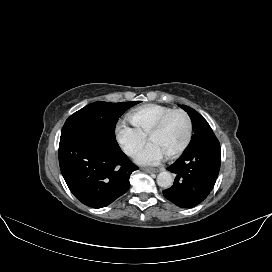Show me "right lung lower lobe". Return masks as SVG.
Wrapping results in <instances>:
<instances>
[{"label": "right lung lower lobe", "mask_w": 272, "mask_h": 272, "mask_svg": "<svg viewBox=\"0 0 272 272\" xmlns=\"http://www.w3.org/2000/svg\"><path fill=\"white\" fill-rule=\"evenodd\" d=\"M59 165L72 194L93 208L105 207L126 193L129 177L138 169L116 139L79 125L62 128Z\"/></svg>", "instance_id": "1"}]
</instances>
